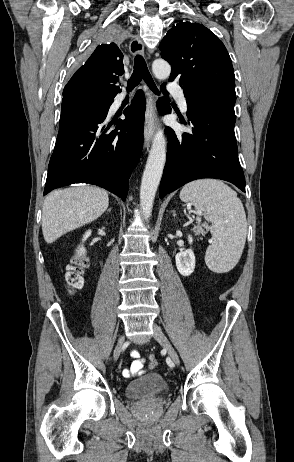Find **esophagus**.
<instances>
[{
  "mask_svg": "<svg viewBox=\"0 0 294 462\" xmlns=\"http://www.w3.org/2000/svg\"><path fill=\"white\" fill-rule=\"evenodd\" d=\"M129 51L133 56L144 54V43L136 37L129 45ZM155 96L151 90L147 89V106L145 112V125H144V144L148 149L155 131Z\"/></svg>",
  "mask_w": 294,
  "mask_h": 462,
  "instance_id": "1",
  "label": "esophagus"
}]
</instances>
